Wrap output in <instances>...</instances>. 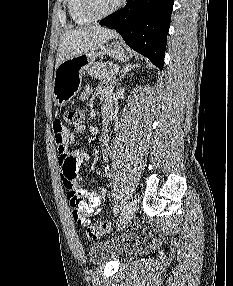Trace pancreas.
Masks as SVG:
<instances>
[{
	"instance_id": "1",
	"label": "pancreas",
	"mask_w": 233,
	"mask_h": 286,
	"mask_svg": "<svg viewBox=\"0 0 233 286\" xmlns=\"http://www.w3.org/2000/svg\"><path fill=\"white\" fill-rule=\"evenodd\" d=\"M88 75L100 80L113 81L115 77L110 75L107 70L106 63H96L92 67L87 69Z\"/></svg>"
}]
</instances>
